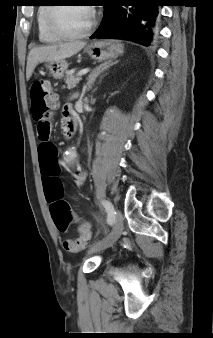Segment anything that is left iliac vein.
Wrapping results in <instances>:
<instances>
[{
	"label": "left iliac vein",
	"mask_w": 213,
	"mask_h": 338,
	"mask_svg": "<svg viewBox=\"0 0 213 338\" xmlns=\"http://www.w3.org/2000/svg\"><path fill=\"white\" fill-rule=\"evenodd\" d=\"M124 227V220L122 213L117 210L114 216V227L112 232L102 241L90 247L87 251V255H92L101 250L107 249L120 238Z\"/></svg>",
	"instance_id": "1"
}]
</instances>
